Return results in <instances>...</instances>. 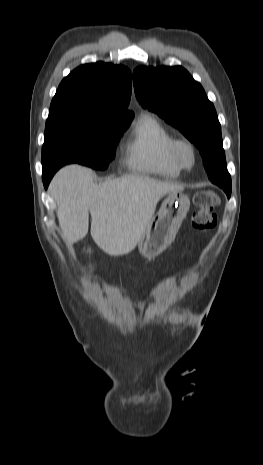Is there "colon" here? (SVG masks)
I'll use <instances>...</instances> for the list:
<instances>
[{"label":"colon","instance_id":"colon-1","mask_svg":"<svg viewBox=\"0 0 263 465\" xmlns=\"http://www.w3.org/2000/svg\"><path fill=\"white\" fill-rule=\"evenodd\" d=\"M218 203V196L213 191H203L195 195L194 204L197 210L192 216V227L196 231L208 232L216 226L214 209Z\"/></svg>","mask_w":263,"mask_h":465}]
</instances>
